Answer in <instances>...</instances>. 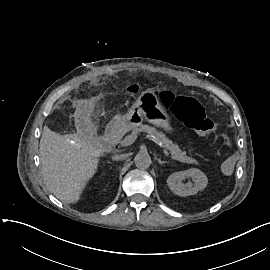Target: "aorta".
<instances>
[{
	"label": "aorta",
	"instance_id": "1",
	"mask_svg": "<svg viewBox=\"0 0 270 270\" xmlns=\"http://www.w3.org/2000/svg\"><path fill=\"white\" fill-rule=\"evenodd\" d=\"M134 162L136 167L140 169H148L152 163L151 157L147 152H139L135 158Z\"/></svg>",
	"mask_w": 270,
	"mask_h": 270
}]
</instances>
